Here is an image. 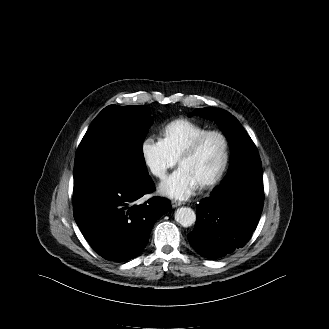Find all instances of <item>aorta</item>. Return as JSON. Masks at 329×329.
Segmentation results:
<instances>
[{
	"mask_svg": "<svg viewBox=\"0 0 329 329\" xmlns=\"http://www.w3.org/2000/svg\"><path fill=\"white\" fill-rule=\"evenodd\" d=\"M175 220L183 227H190L196 221V214L189 207H181L175 212Z\"/></svg>",
	"mask_w": 329,
	"mask_h": 329,
	"instance_id": "obj_1",
	"label": "aorta"
}]
</instances>
